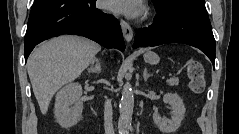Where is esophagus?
<instances>
[{
	"mask_svg": "<svg viewBox=\"0 0 239 134\" xmlns=\"http://www.w3.org/2000/svg\"><path fill=\"white\" fill-rule=\"evenodd\" d=\"M120 25L122 28L123 36L127 42H130L133 38L132 27L123 19L120 20Z\"/></svg>",
	"mask_w": 239,
	"mask_h": 134,
	"instance_id": "34e87169",
	"label": "esophagus"
}]
</instances>
